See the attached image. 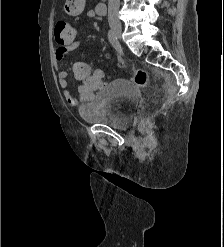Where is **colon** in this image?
<instances>
[{
	"label": "colon",
	"mask_w": 224,
	"mask_h": 247,
	"mask_svg": "<svg viewBox=\"0 0 224 247\" xmlns=\"http://www.w3.org/2000/svg\"><path fill=\"white\" fill-rule=\"evenodd\" d=\"M54 35L57 41H70L76 38L77 28L70 22L60 20L55 24ZM74 73L78 79L88 81L91 86L89 90L82 94V100L89 99L92 89L98 88L102 85L101 80L97 76H95L89 66L85 64H77L74 67ZM132 74L133 80L138 86L146 88L149 85V76L144 69L133 68Z\"/></svg>",
	"instance_id": "obj_1"
}]
</instances>
